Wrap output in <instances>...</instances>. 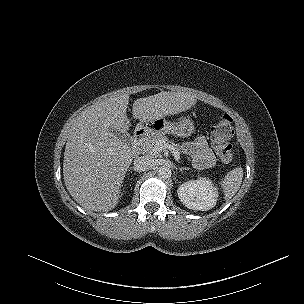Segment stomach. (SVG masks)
I'll return each instance as SVG.
<instances>
[{"label": "stomach", "mask_w": 304, "mask_h": 304, "mask_svg": "<svg viewBox=\"0 0 304 304\" xmlns=\"http://www.w3.org/2000/svg\"><path fill=\"white\" fill-rule=\"evenodd\" d=\"M138 129L147 134H172L177 137H189L194 131V123L189 118H182L178 123H170L165 118H160L154 122L139 123Z\"/></svg>", "instance_id": "1"}]
</instances>
